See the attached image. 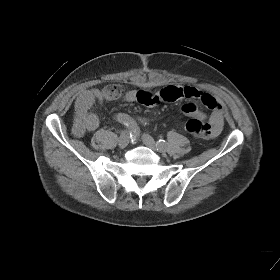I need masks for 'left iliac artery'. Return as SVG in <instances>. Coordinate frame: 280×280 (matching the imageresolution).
Listing matches in <instances>:
<instances>
[{
  "label": "left iliac artery",
  "mask_w": 280,
  "mask_h": 280,
  "mask_svg": "<svg viewBox=\"0 0 280 280\" xmlns=\"http://www.w3.org/2000/svg\"><path fill=\"white\" fill-rule=\"evenodd\" d=\"M145 124H146V123H145ZM157 145H158V147H159L160 149H165L166 146H167V143H166L165 140L159 139V140L157 141Z\"/></svg>",
  "instance_id": "obj_1"
}]
</instances>
